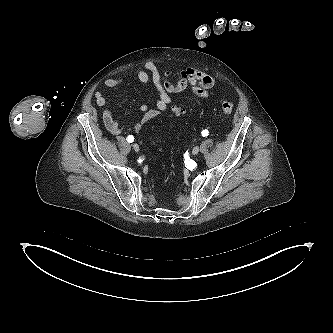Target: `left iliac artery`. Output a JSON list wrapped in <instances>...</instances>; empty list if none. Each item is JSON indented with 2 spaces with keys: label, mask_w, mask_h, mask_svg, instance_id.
<instances>
[{
  "label": "left iliac artery",
  "mask_w": 333,
  "mask_h": 333,
  "mask_svg": "<svg viewBox=\"0 0 333 333\" xmlns=\"http://www.w3.org/2000/svg\"><path fill=\"white\" fill-rule=\"evenodd\" d=\"M201 134L203 137H206V136H208L209 132H208V130L205 129L201 132Z\"/></svg>",
  "instance_id": "obj_1"
}]
</instances>
